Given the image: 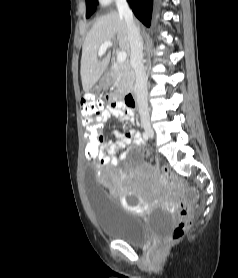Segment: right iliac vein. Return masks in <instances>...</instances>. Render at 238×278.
<instances>
[{
  "mask_svg": "<svg viewBox=\"0 0 238 278\" xmlns=\"http://www.w3.org/2000/svg\"><path fill=\"white\" fill-rule=\"evenodd\" d=\"M145 131L151 138L154 137V132L150 126H145Z\"/></svg>",
  "mask_w": 238,
  "mask_h": 278,
  "instance_id": "right-iliac-vein-1",
  "label": "right iliac vein"
}]
</instances>
